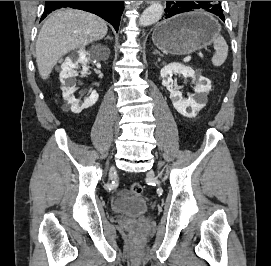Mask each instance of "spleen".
Instances as JSON below:
<instances>
[{
	"label": "spleen",
	"mask_w": 271,
	"mask_h": 266,
	"mask_svg": "<svg viewBox=\"0 0 271 266\" xmlns=\"http://www.w3.org/2000/svg\"><path fill=\"white\" fill-rule=\"evenodd\" d=\"M213 46L215 49V54L212 57V64L218 67L221 66L227 58L228 45L223 36L216 33L213 38Z\"/></svg>",
	"instance_id": "obj_1"
}]
</instances>
